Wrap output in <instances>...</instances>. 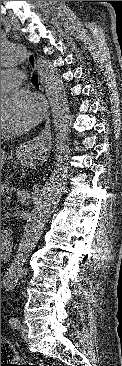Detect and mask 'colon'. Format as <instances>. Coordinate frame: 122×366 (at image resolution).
Here are the masks:
<instances>
[{
  "instance_id": "5ec220e1",
  "label": "colon",
  "mask_w": 122,
  "mask_h": 366,
  "mask_svg": "<svg viewBox=\"0 0 122 366\" xmlns=\"http://www.w3.org/2000/svg\"><path fill=\"white\" fill-rule=\"evenodd\" d=\"M5 357L6 361H13L14 360V353H13V348L11 346V344L3 339H1V359H3ZM4 366H41L37 363H22V364H15V363H10V364H3Z\"/></svg>"
}]
</instances>
